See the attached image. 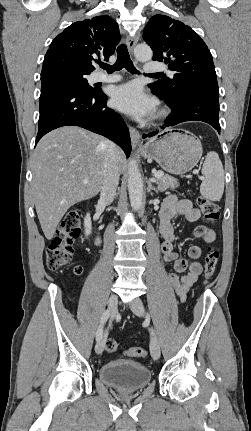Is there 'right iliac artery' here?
Listing matches in <instances>:
<instances>
[{"mask_svg": "<svg viewBox=\"0 0 251 431\" xmlns=\"http://www.w3.org/2000/svg\"><path fill=\"white\" fill-rule=\"evenodd\" d=\"M109 316H110V311H109V310H106V311L103 313L102 317H101L100 326H99V328H98V330H97V332H96V340H97V341H98V340L102 337V335H103V326H104V324L106 323V321L108 320Z\"/></svg>", "mask_w": 251, "mask_h": 431, "instance_id": "obj_1", "label": "right iliac artery"}]
</instances>
